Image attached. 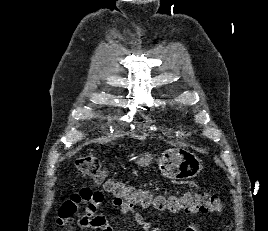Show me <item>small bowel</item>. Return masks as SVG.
<instances>
[{"label":"small bowel","instance_id":"small-bowel-1","mask_svg":"<svg viewBox=\"0 0 268 231\" xmlns=\"http://www.w3.org/2000/svg\"><path fill=\"white\" fill-rule=\"evenodd\" d=\"M81 191H86V196H80ZM79 193L71 195L63 202L57 212L56 223L59 226L71 228H90L100 231H114L108 217L99 212L102 205L105 203V197L99 190H94L89 187H83ZM80 204L84 205L83 209H79ZM116 209H119L117 204H113ZM131 214L135 223L141 227L143 231H161V229L146 218L136 209L130 208L123 211ZM200 227L197 224L188 225L183 231H199Z\"/></svg>","mask_w":268,"mask_h":231}]
</instances>
